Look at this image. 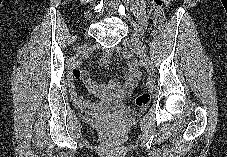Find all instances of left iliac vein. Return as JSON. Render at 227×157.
<instances>
[{"mask_svg": "<svg viewBox=\"0 0 227 157\" xmlns=\"http://www.w3.org/2000/svg\"><path fill=\"white\" fill-rule=\"evenodd\" d=\"M123 44L132 50L141 60V63L149 74L154 73V65L148 54L143 49V44L137 35H133L130 38H125Z\"/></svg>", "mask_w": 227, "mask_h": 157, "instance_id": "left-iliac-vein-1", "label": "left iliac vein"}]
</instances>
